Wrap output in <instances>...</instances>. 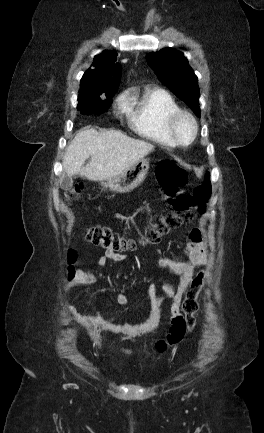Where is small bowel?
<instances>
[{
	"label": "small bowel",
	"instance_id": "1",
	"mask_svg": "<svg viewBox=\"0 0 264 433\" xmlns=\"http://www.w3.org/2000/svg\"><path fill=\"white\" fill-rule=\"evenodd\" d=\"M158 265L165 270L176 275L179 279L178 286L174 288L168 283L161 286L162 294L157 296L155 286L149 284L148 294L152 302V309L149 315L142 322L134 324L130 322L115 323L114 317H102L97 313L92 315H82L73 306H68L70 313L74 319L82 325L99 327L114 333L123 335L122 340L143 336L155 330L162 318L163 305L165 302H170L171 327L167 337L158 341L150 351L152 355L162 354L169 348L178 344L184 337L187 327L184 321V316L180 313V303L183 296L193 280L195 271L207 261V251L204 246L201 232L198 229H193L185 240V248L181 256L164 257L159 252ZM126 257L119 253L105 251L98 259L97 264L102 270L107 262H122ZM103 278L102 271L98 273L84 272L78 270L69 286L94 285ZM118 306H123L128 302V297L121 292L116 297ZM120 353L125 356H130L128 350H120Z\"/></svg>",
	"mask_w": 264,
	"mask_h": 433
}]
</instances>
